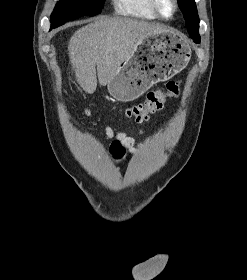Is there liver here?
Masks as SVG:
<instances>
[{"label": "liver", "mask_w": 247, "mask_h": 280, "mask_svg": "<svg viewBox=\"0 0 247 280\" xmlns=\"http://www.w3.org/2000/svg\"><path fill=\"white\" fill-rule=\"evenodd\" d=\"M170 31L164 25L126 17L98 19L78 29L70 38L68 51L77 82L86 93L112 79L147 36Z\"/></svg>", "instance_id": "1"}]
</instances>
